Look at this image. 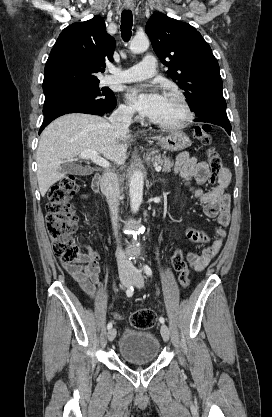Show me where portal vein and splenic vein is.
Returning <instances> with one entry per match:
<instances>
[{
	"instance_id": "1",
	"label": "portal vein and splenic vein",
	"mask_w": 272,
	"mask_h": 417,
	"mask_svg": "<svg viewBox=\"0 0 272 417\" xmlns=\"http://www.w3.org/2000/svg\"><path fill=\"white\" fill-rule=\"evenodd\" d=\"M79 157L81 159H90L96 165L103 167V168H109L111 166L110 163L106 159L100 157L98 155V152L94 150H89V149L84 150L80 153ZM155 171L160 172L161 166H156Z\"/></svg>"
}]
</instances>
